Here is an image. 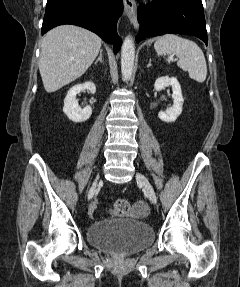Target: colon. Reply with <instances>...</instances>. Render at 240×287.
Segmentation results:
<instances>
[{"label": "colon", "instance_id": "colon-1", "mask_svg": "<svg viewBox=\"0 0 240 287\" xmlns=\"http://www.w3.org/2000/svg\"><path fill=\"white\" fill-rule=\"evenodd\" d=\"M130 204L126 199H117L111 206L110 212L113 216H125L130 212ZM135 216H142L143 212H133Z\"/></svg>", "mask_w": 240, "mask_h": 287}]
</instances>
